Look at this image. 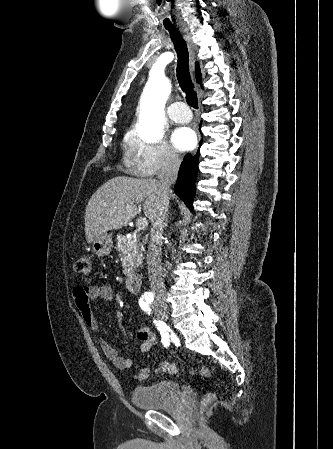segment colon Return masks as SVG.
I'll return each mask as SVG.
<instances>
[{
	"label": "colon",
	"mask_w": 333,
	"mask_h": 449,
	"mask_svg": "<svg viewBox=\"0 0 333 449\" xmlns=\"http://www.w3.org/2000/svg\"><path fill=\"white\" fill-rule=\"evenodd\" d=\"M91 267V256L89 254L81 255L75 263V270L78 273L87 274L90 271ZM156 371L167 373L170 375H176L179 372V368L176 364L170 362H163L156 368ZM192 374H198L202 377L209 378L211 377V371L204 366L193 367L191 369ZM150 374L149 368H141L137 372L138 379H146ZM215 395L213 393H207L203 400V405H209L213 402Z\"/></svg>",
	"instance_id": "5ec220e1"
}]
</instances>
